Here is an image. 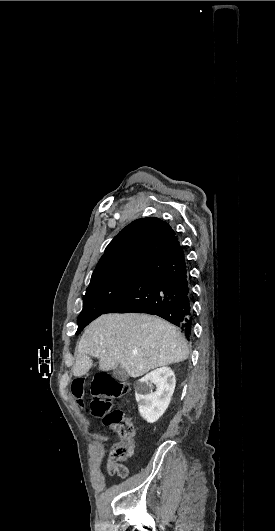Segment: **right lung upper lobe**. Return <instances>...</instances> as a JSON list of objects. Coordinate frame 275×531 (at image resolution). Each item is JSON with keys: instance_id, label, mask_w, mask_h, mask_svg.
<instances>
[{"instance_id": "right-lung-upper-lobe-1", "label": "right lung upper lobe", "mask_w": 275, "mask_h": 531, "mask_svg": "<svg viewBox=\"0 0 275 531\" xmlns=\"http://www.w3.org/2000/svg\"><path fill=\"white\" fill-rule=\"evenodd\" d=\"M174 236L170 225L156 217L133 221L106 247L91 281L120 269L147 265L167 247Z\"/></svg>"}]
</instances>
